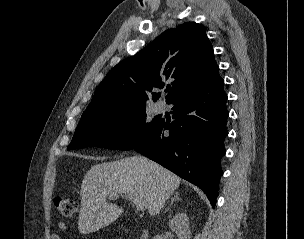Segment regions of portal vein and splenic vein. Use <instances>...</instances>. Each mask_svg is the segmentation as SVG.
<instances>
[{"label": "portal vein and splenic vein", "mask_w": 304, "mask_h": 239, "mask_svg": "<svg viewBox=\"0 0 304 239\" xmlns=\"http://www.w3.org/2000/svg\"><path fill=\"white\" fill-rule=\"evenodd\" d=\"M118 197H119V195H117V194L110 195V198H118ZM121 197L125 198V199L129 200L131 203L135 204L136 208L141 211H144L147 208L146 201L139 196H136L133 194H124V195H121Z\"/></svg>", "instance_id": "obj_1"}]
</instances>
